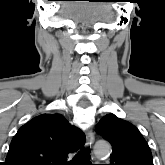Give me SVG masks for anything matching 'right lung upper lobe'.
Returning <instances> with one entry per match:
<instances>
[{"mask_svg":"<svg viewBox=\"0 0 165 165\" xmlns=\"http://www.w3.org/2000/svg\"><path fill=\"white\" fill-rule=\"evenodd\" d=\"M84 143L81 130L63 115L42 114L18 130L4 165H66L67 155Z\"/></svg>","mask_w":165,"mask_h":165,"instance_id":"right-lung-upper-lobe-1","label":"right lung upper lobe"}]
</instances>
